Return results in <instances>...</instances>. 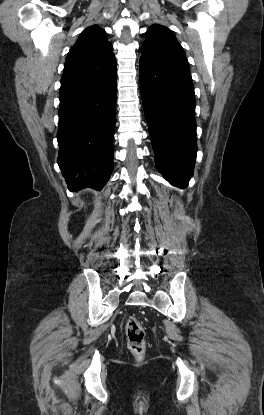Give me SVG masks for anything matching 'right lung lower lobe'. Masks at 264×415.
<instances>
[{"label": "right lung lower lobe", "mask_w": 264, "mask_h": 415, "mask_svg": "<svg viewBox=\"0 0 264 415\" xmlns=\"http://www.w3.org/2000/svg\"><path fill=\"white\" fill-rule=\"evenodd\" d=\"M116 72L60 89L58 165L70 191L102 189L113 170Z\"/></svg>", "instance_id": "98d812e1"}]
</instances>
